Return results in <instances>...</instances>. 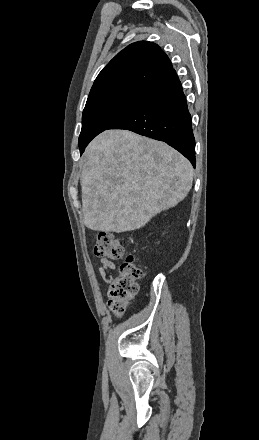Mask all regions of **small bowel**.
I'll return each instance as SVG.
<instances>
[{
    "label": "small bowel",
    "instance_id": "1",
    "mask_svg": "<svg viewBox=\"0 0 259 440\" xmlns=\"http://www.w3.org/2000/svg\"><path fill=\"white\" fill-rule=\"evenodd\" d=\"M115 268V264L108 260V259H102L101 265L98 267V273L100 276H102L107 281L111 282L113 279V276L111 274V271Z\"/></svg>",
    "mask_w": 259,
    "mask_h": 440
}]
</instances>
